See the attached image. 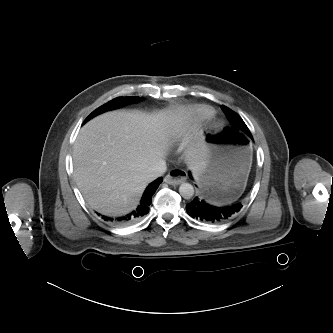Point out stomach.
I'll list each match as a JSON object with an SVG mask.
<instances>
[{"label": "stomach", "instance_id": "stomach-1", "mask_svg": "<svg viewBox=\"0 0 333 333\" xmlns=\"http://www.w3.org/2000/svg\"><path fill=\"white\" fill-rule=\"evenodd\" d=\"M204 166L195 179L211 202L225 204L237 199L246 186L252 148L229 129L207 135Z\"/></svg>", "mask_w": 333, "mask_h": 333}]
</instances>
